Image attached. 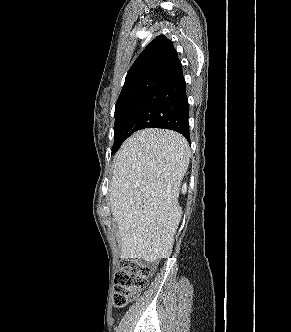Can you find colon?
<instances>
[{
  "label": "colon",
  "mask_w": 291,
  "mask_h": 332,
  "mask_svg": "<svg viewBox=\"0 0 291 332\" xmlns=\"http://www.w3.org/2000/svg\"><path fill=\"white\" fill-rule=\"evenodd\" d=\"M152 266L135 259H124L115 277L113 302L117 307L125 306L148 284Z\"/></svg>",
  "instance_id": "1"
}]
</instances>
